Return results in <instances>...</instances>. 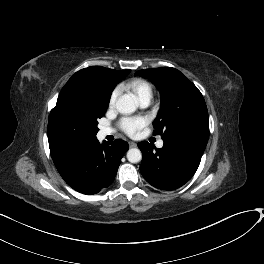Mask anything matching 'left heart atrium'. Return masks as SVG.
Wrapping results in <instances>:
<instances>
[{
    "label": "left heart atrium",
    "instance_id": "39dd6f15",
    "mask_svg": "<svg viewBox=\"0 0 264 264\" xmlns=\"http://www.w3.org/2000/svg\"><path fill=\"white\" fill-rule=\"evenodd\" d=\"M147 122V119L142 117H129L122 119L120 121V126L126 134L135 136L147 124Z\"/></svg>",
    "mask_w": 264,
    "mask_h": 264
}]
</instances>
